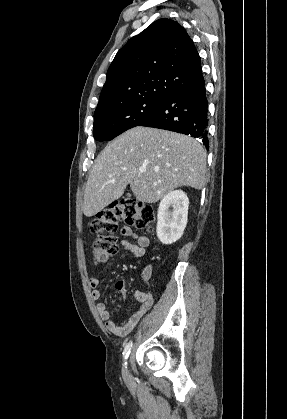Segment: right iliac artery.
I'll return each mask as SVG.
<instances>
[{
  "label": "right iliac artery",
  "mask_w": 287,
  "mask_h": 419,
  "mask_svg": "<svg viewBox=\"0 0 287 419\" xmlns=\"http://www.w3.org/2000/svg\"><path fill=\"white\" fill-rule=\"evenodd\" d=\"M131 348H132V342H128L126 344L125 348H124V351H123V357H124V359H127L128 358V356L130 354V351H131ZM126 364L127 363L125 362V365Z\"/></svg>",
  "instance_id": "82829eb1"
}]
</instances>
